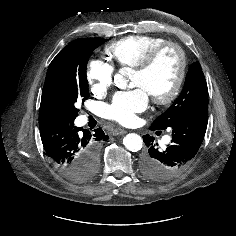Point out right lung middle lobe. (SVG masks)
Masks as SVG:
<instances>
[{
    "instance_id": "1",
    "label": "right lung middle lobe",
    "mask_w": 236,
    "mask_h": 236,
    "mask_svg": "<svg viewBox=\"0 0 236 236\" xmlns=\"http://www.w3.org/2000/svg\"><path fill=\"white\" fill-rule=\"evenodd\" d=\"M103 38H81L72 41L50 63L41 101L57 118L75 119L77 101L89 98L86 67L92 51L106 42ZM98 169V156L88 164L81 181L92 178Z\"/></svg>"
}]
</instances>
